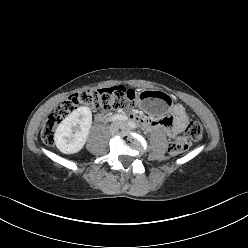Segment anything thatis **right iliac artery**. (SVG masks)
<instances>
[{"label":"right iliac artery","instance_id":"obj_1","mask_svg":"<svg viewBox=\"0 0 248 248\" xmlns=\"http://www.w3.org/2000/svg\"><path fill=\"white\" fill-rule=\"evenodd\" d=\"M120 121V120H127V117L125 115H115L113 116L110 121Z\"/></svg>","mask_w":248,"mask_h":248}]
</instances>
